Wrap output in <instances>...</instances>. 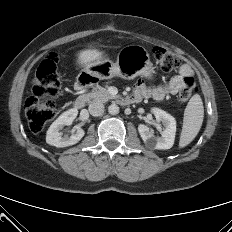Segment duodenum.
I'll list each match as a JSON object with an SVG mask.
<instances>
[{"mask_svg": "<svg viewBox=\"0 0 232 232\" xmlns=\"http://www.w3.org/2000/svg\"><path fill=\"white\" fill-rule=\"evenodd\" d=\"M86 88H87L86 85H77L76 86L77 96L75 97V100H74V107L76 109H81L85 105L86 95L84 93V90ZM139 101H141V99L139 97L133 95V94L118 98V102L121 105H130V104H133V103H137Z\"/></svg>", "mask_w": 232, "mask_h": 232, "instance_id": "1", "label": "duodenum"}]
</instances>
